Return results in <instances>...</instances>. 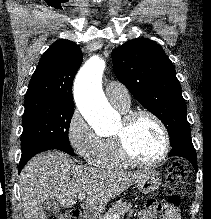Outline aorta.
Here are the masks:
<instances>
[{"label":"aorta","instance_id":"aorta-1","mask_svg":"<svg viewBox=\"0 0 211 219\" xmlns=\"http://www.w3.org/2000/svg\"><path fill=\"white\" fill-rule=\"evenodd\" d=\"M104 69V60L93 56L82 66L74 83L76 105L97 134L107 133L116 119L101 86Z\"/></svg>","mask_w":211,"mask_h":219}]
</instances>
